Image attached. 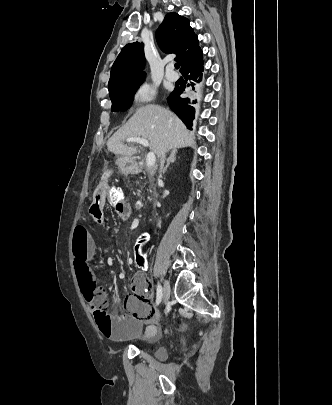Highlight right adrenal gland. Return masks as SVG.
I'll use <instances>...</instances> for the list:
<instances>
[{
  "mask_svg": "<svg viewBox=\"0 0 332 405\" xmlns=\"http://www.w3.org/2000/svg\"><path fill=\"white\" fill-rule=\"evenodd\" d=\"M176 154H177V150H176V149H173V150L171 151V154H170L168 160H167V164H166V166H165V168H164V170H163V173H166V171H167V169H168L170 163L175 162V160H176Z\"/></svg>",
  "mask_w": 332,
  "mask_h": 405,
  "instance_id": "2a0ac1e0",
  "label": "right adrenal gland"
}]
</instances>
